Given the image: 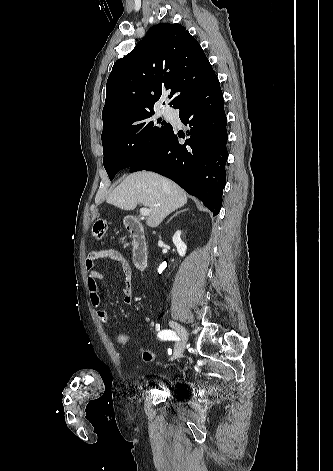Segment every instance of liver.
<instances>
[{
  "instance_id": "liver-1",
  "label": "liver",
  "mask_w": 333,
  "mask_h": 471,
  "mask_svg": "<svg viewBox=\"0 0 333 471\" xmlns=\"http://www.w3.org/2000/svg\"><path fill=\"white\" fill-rule=\"evenodd\" d=\"M108 204L122 210H134L137 204L150 208L146 224L155 228L170 213L187 203L186 192L171 180L149 171L126 177L106 198Z\"/></svg>"
}]
</instances>
